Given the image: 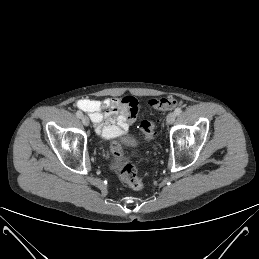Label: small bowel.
I'll use <instances>...</instances> for the list:
<instances>
[{
    "mask_svg": "<svg viewBox=\"0 0 259 259\" xmlns=\"http://www.w3.org/2000/svg\"><path fill=\"white\" fill-rule=\"evenodd\" d=\"M76 105L89 115L103 138L124 133L136 121L139 112L138 100L133 96L103 100L83 98L77 100Z\"/></svg>",
    "mask_w": 259,
    "mask_h": 259,
    "instance_id": "obj_1",
    "label": "small bowel"
}]
</instances>
